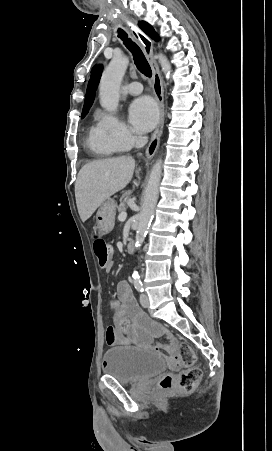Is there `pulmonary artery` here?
Returning <instances> with one entry per match:
<instances>
[{"label": "pulmonary artery", "instance_id": "1", "mask_svg": "<svg viewBox=\"0 0 272 451\" xmlns=\"http://www.w3.org/2000/svg\"><path fill=\"white\" fill-rule=\"evenodd\" d=\"M139 82H133L130 83L127 87H126V92L130 95H138L141 93L142 91V87L139 86Z\"/></svg>", "mask_w": 272, "mask_h": 451}]
</instances>
